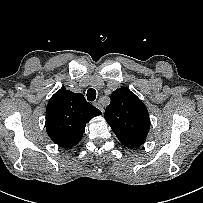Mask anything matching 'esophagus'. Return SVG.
<instances>
[{
  "label": "esophagus",
  "mask_w": 203,
  "mask_h": 203,
  "mask_svg": "<svg viewBox=\"0 0 203 203\" xmlns=\"http://www.w3.org/2000/svg\"><path fill=\"white\" fill-rule=\"evenodd\" d=\"M94 106L96 108H98L102 113L104 112V108H103V106L99 102H95Z\"/></svg>",
  "instance_id": "obj_1"
}]
</instances>
